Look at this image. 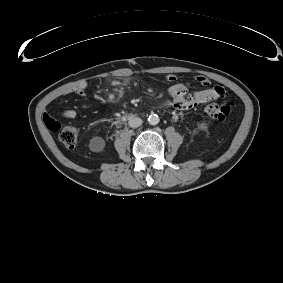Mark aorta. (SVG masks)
<instances>
[{
	"label": "aorta",
	"mask_w": 283,
	"mask_h": 283,
	"mask_svg": "<svg viewBox=\"0 0 283 283\" xmlns=\"http://www.w3.org/2000/svg\"><path fill=\"white\" fill-rule=\"evenodd\" d=\"M159 121H160V119H159L157 114H151L148 117V122L151 125H157L159 123Z\"/></svg>",
	"instance_id": "762f6f07"
}]
</instances>
